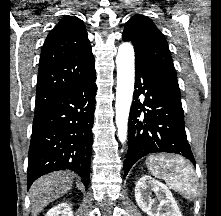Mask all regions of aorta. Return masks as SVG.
<instances>
[{"mask_svg":"<svg viewBox=\"0 0 221 216\" xmlns=\"http://www.w3.org/2000/svg\"><path fill=\"white\" fill-rule=\"evenodd\" d=\"M116 125L121 143L127 140L128 117L134 91V49L130 43H122L116 57Z\"/></svg>","mask_w":221,"mask_h":216,"instance_id":"obj_1","label":"aorta"}]
</instances>
